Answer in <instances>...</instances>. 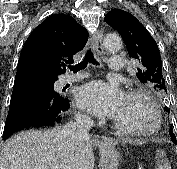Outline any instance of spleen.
I'll return each instance as SVG.
<instances>
[{
	"label": "spleen",
	"instance_id": "spleen-1",
	"mask_svg": "<svg viewBox=\"0 0 177 169\" xmlns=\"http://www.w3.org/2000/svg\"><path fill=\"white\" fill-rule=\"evenodd\" d=\"M156 160L158 166L157 169H171L168 159L163 151L157 150Z\"/></svg>",
	"mask_w": 177,
	"mask_h": 169
}]
</instances>
